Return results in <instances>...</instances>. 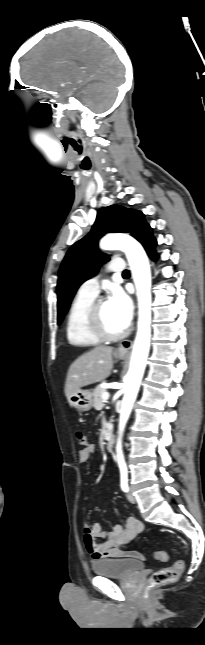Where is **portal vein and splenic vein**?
Here are the masks:
<instances>
[{"instance_id": "portal-vein-and-splenic-vein-1", "label": "portal vein and splenic vein", "mask_w": 205, "mask_h": 645, "mask_svg": "<svg viewBox=\"0 0 205 645\" xmlns=\"http://www.w3.org/2000/svg\"><path fill=\"white\" fill-rule=\"evenodd\" d=\"M102 399H103L104 401L108 400V399H109V393H108V392H104V393L102 394Z\"/></svg>"}]
</instances>
